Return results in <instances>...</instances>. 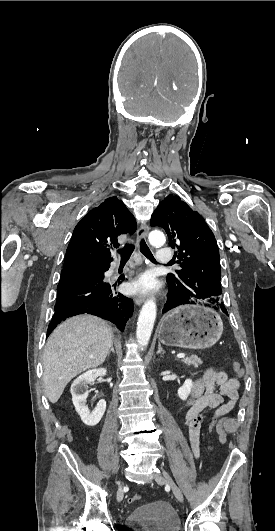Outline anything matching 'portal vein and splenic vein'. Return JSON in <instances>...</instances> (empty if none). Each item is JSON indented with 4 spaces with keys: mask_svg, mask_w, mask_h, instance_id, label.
Segmentation results:
<instances>
[{
    "mask_svg": "<svg viewBox=\"0 0 275 531\" xmlns=\"http://www.w3.org/2000/svg\"><path fill=\"white\" fill-rule=\"evenodd\" d=\"M178 359H184L185 355L184 353H179V355H177Z\"/></svg>",
    "mask_w": 275,
    "mask_h": 531,
    "instance_id": "portal-vein-and-splenic-vein-1",
    "label": "portal vein and splenic vein"
}]
</instances>
